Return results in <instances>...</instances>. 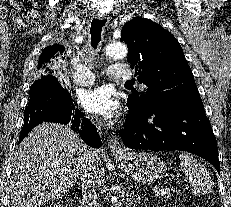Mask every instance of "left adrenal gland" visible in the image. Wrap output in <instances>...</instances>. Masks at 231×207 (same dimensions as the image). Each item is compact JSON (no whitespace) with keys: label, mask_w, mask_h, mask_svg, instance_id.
<instances>
[{"label":"left adrenal gland","mask_w":231,"mask_h":207,"mask_svg":"<svg viewBox=\"0 0 231 207\" xmlns=\"http://www.w3.org/2000/svg\"><path fill=\"white\" fill-rule=\"evenodd\" d=\"M133 194H134V192L131 193L130 198H127V204H128V206L132 205L133 207H137V202L139 201V198L134 200Z\"/></svg>","instance_id":"a2214340"}]
</instances>
